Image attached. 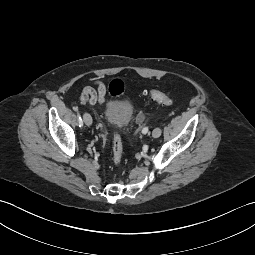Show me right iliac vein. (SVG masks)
I'll return each instance as SVG.
<instances>
[{
  "label": "right iliac vein",
  "instance_id": "1",
  "mask_svg": "<svg viewBox=\"0 0 255 255\" xmlns=\"http://www.w3.org/2000/svg\"><path fill=\"white\" fill-rule=\"evenodd\" d=\"M83 120L87 126H90L92 124V117L88 113H84Z\"/></svg>",
  "mask_w": 255,
  "mask_h": 255
}]
</instances>
